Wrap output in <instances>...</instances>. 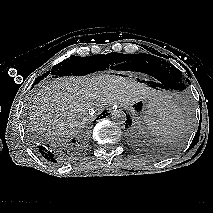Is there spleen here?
I'll use <instances>...</instances> for the list:
<instances>
[{
	"label": "spleen",
	"mask_w": 213,
	"mask_h": 213,
	"mask_svg": "<svg viewBox=\"0 0 213 213\" xmlns=\"http://www.w3.org/2000/svg\"><path fill=\"white\" fill-rule=\"evenodd\" d=\"M147 125L160 141L169 140L177 135L182 127V113L176 106H169L158 113L156 119Z\"/></svg>",
	"instance_id": "1"
}]
</instances>
